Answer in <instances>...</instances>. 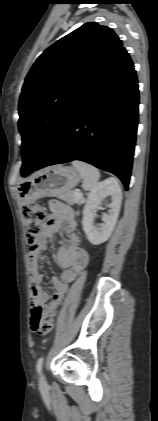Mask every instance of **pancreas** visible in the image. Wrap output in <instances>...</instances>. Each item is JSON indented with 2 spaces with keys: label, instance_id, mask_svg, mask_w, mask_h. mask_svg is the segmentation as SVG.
Instances as JSON below:
<instances>
[{
  "label": "pancreas",
  "instance_id": "cf45deb5",
  "mask_svg": "<svg viewBox=\"0 0 158 421\" xmlns=\"http://www.w3.org/2000/svg\"><path fill=\"white\" fill-rule=\"evenodd\" d=\"M62 199L64 201H66L67 203H69V204H78V205H81V204H83L85 202V199L84 198H77L74 195V192H69V193L64 194L62 196Z\"/></svg>",
  "mask_w": 158,
  "mask_h": 421
}]
</instances>
